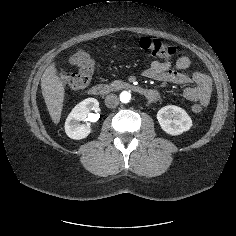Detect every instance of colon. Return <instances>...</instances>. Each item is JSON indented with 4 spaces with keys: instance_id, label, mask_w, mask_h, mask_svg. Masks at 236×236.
Wrapping results in <instances>:
<instances>
[{
    "instance_id": "5ec220e1",
    "label": "colon",
    "mask_w": 236,
    "mask_h": 236,
    "mask_svg": "<svg viewBox=\"0 0 236 236\" xmlns=\"http://www.w3.org/2000/svg\"><path fill=\"white\" fill-rule=\"evenodd\" d=\"M139 46L145 53L165 60H170L176 54L174 47L149 37L142 38ZM70 62L78 68L77 73L59 71V80L65 86L73 89L85 87L91 81L94 72V61L92 57L87 53H78L71 56ZM202 108L203 106L200 103H196L192 106V111L200 113Z\"/></svg>"
}]
</instances>
